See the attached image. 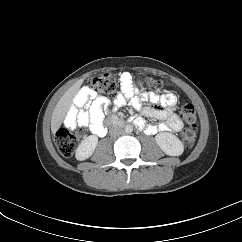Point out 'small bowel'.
<instances>
[{"instance_id":"small-bowel-1","label":"small bowel","mask_w":242,"mask_h":242,"mask_svg":"<svg viewBox=\"0 0 242 242\" xmlns=\"http://www.w3.org/2000/svg\"><path fill=\"white\" fill-rule=\"evenodd\" d=\"M121 91L116 98L115 107L122 108L126 104L140 110L147 117L157 118L165 122L160 125L145 124L141 118L135 119V124L144 128L147 134H155L158 131H179L182 123L175 113L177 97L173 93L157 94L155 92L139 93L132 85L126 74L120 76ZM144 101H150L154 106H143ZM110 111L109 103L96 97L95 93L85 88L75 98V105L69 110L65 124L74 128L76 124L88 127L91 133L103 136L105 127L104 116Z\"/></svg>"}]
</instances>
